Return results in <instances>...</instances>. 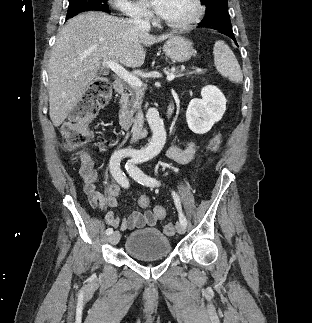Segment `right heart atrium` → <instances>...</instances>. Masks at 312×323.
I'll list each match as a JSON object with an SVG mask.
<instances>
[{
  "mask_svg": "<svg viewBox=\"0 0 312 323\" xmlns=\"http://www.w3.org/2000/svg\"><path fill=\"white\" fill-rule=\"evenodd\" d=\"M106 5H110V9L114 13H123L124 17H150V10H141L140 6H136L135 2H126V0H105Z\"/></svg>",
  "mask_w": 312,
  "mask_h": 323,
  "instance_id": "obj_1",
  "label": "right heart atrium"
}]
</instances>
